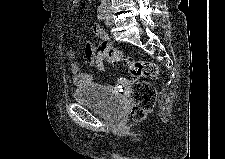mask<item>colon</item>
Segmentation results:
<instances>
[{"label": "colon", "instance_id": "5ec220e1", "mask_svg": "<svg viewBox=\"0 0 225 159\" xmlns=\"http://www.w3.org/2000/svg\"><path fill=\"white\" fill-rule=\"evenodd\" d=\"M70 1L77 2V0ZM98 55L111 64L123 61L127 72L136 80L132 88L130 117L135 121L142 120L154 107L157 92L151 83L139 79L157 78L160 73L158 65L148 60L134 59L112 47H99Z\"/></svg>", "mask_w": 225, "mask_h": 159}]
</instances>
